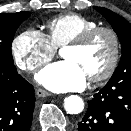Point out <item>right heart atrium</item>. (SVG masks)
I'll return each mask as SVG.
<instances>
[{
	"mask_svg": "<svg viewBox=\"0 0 131 131\" xmlns=\"http://www.w3.org/2000/svg\"><path fill=\"white\" fill-rule=\"evenodd\" d=\"M11 51L16 65L31 73L50 61L56 49L41 31L27 29L13 39Z\"/></svg>",
	"mask_w": 131,
	"mask_h": 131,
	"instance_id": "obj_1",
	"label": "right heart atrium"
}]
</instances>
